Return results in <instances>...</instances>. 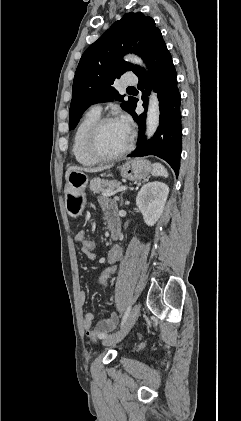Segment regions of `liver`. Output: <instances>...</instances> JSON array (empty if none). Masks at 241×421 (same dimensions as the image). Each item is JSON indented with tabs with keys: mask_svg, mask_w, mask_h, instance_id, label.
<instances>
[{
	"mask_svg": "<svg viewBox=\"0 0 241 421\" xmlns=\"http://www.w3.org/2000/svg\"><path fill=\"white\" fill-rule=\"evenodd\" d=\"M111 168V165H107V166H99V167H79V166H71L67 169L66 174H65V178L67 180L69 174L71 171H81V172H88V173H96V172H101L103 170L109 169Z\"/></svg>",
	"mask_w": 241,
	"mask_h": 421,
	"instance_id": "obj_1",
	"label": "liver"
}]
</instances>
